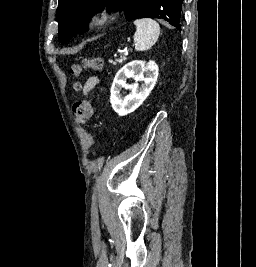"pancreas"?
I'll use <instances>...</instances> for the list:
<instances>
[{
    "label": "pancreas",
    "mask_w": 256,
    "mask_h": 267,
    "mask_svg": "<svg viewBox=\"0 0 256 267\" xmlns=\"http://www.w3.org/2000/svg\"><path fill=\"white\" fill-rule=\"evenodd\" d=\"M125 58H121V60H116V62H114L113 66H116V64H123Z\"/></svg>",
    "instance_id": "cf45deb5"
}]
</instances>
